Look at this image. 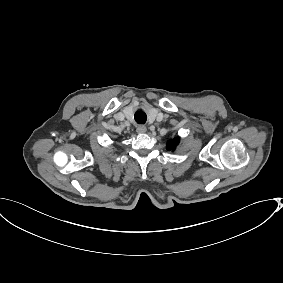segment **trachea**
I'll return each mask as SVG.
<instances>
[{
  "instance_id": "trachea-1",
  "label": "trachea",
  "mask_w": 283,
  "mask_h": 283,
  "mask_svg": "<svg viewBox=\"0 0 283 283\" xmlns=\"http://www.w3.org/2000/svg\"><path fill=\"white\" fill-rule=\"evenodd\" d=\"M134 118L138 124H144L147 120V116L143 111H137Z\"/></svg>"
}]
</instances>
